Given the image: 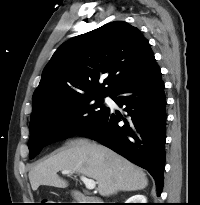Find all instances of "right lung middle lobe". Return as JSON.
Here are the masks:
<instances>
[{"label":"right lung middle lobe","instance_id":"1","mask_svg":"<svg viewBox=\"0 0 200 205\" xmlns=\"http://www.w3.org/2000/svg\"><path fill=\"white\" fill-rule=\"evenodd\" d=\"M105 95L80 96L51 104L30 121L29 157L50 143L78 135L95 124L108 107Z\"/></svg>","mask_w":200,"mask_h":205}]
</instances>
